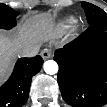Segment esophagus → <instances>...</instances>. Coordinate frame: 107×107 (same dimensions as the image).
<instances>
[{
  "label": "esophagus",
  "mask_w": 107,
  "mask_h": 107,
  "mask_svg": "<svg viewBox=\"0 0 107 107\" xmlns=\"http://www.w3.org/2000/svg\"><path fill=\"white\" fill-rule=\"evenodd\" d=\"M41 56L44 60L49 59L52 57V51L48 48H45L44 50H42Z\"/></svg>",
  "instance_id": "1"
}]
</instances>
